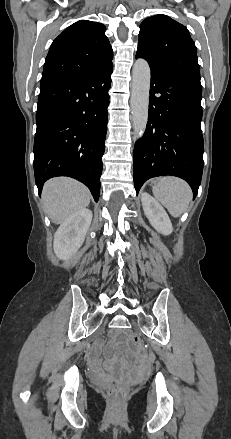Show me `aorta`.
I'll return each mask as SVG.
<instances>
[{
    "instance_id": "aorta-1",
    "label": "aorta",
    "mask_w": 231,
    "mask_h": 439,
    "mask_svg": "<svg viewBox=\"0 0 231 439\" xmlns=\"http://www.w3.org/2000/svg\"><path fill=\"white\" fill-rule=\"evenodd\" d=\"M151 72L144 59H137L132 69L131 114L134 133L140 137L148 122Z\"/></svg>"
}]
</instances>
